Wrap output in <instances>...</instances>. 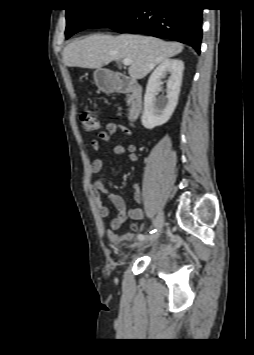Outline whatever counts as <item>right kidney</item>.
<instances>
[{
    "label": "right kidney",
    "mask_w": 254,
    "mask_h": 355,
    "mask_svg": "<svg viewBox=\"0 0 254 355\" xmlns=\"http://www.w3.org/2000/svg\"><path fill=\"white\" fill-rule=\"evenodd\" d=\"M184 63L179 59H166L161 62L151 74L144 96V111L141 117L142 125L153 129L166 123L173 114L179 98ZM170 73L167 81V95L156 98L166 73Z\"/></svg>",
    "instance_id": "obj_1"
}]
</instances>
